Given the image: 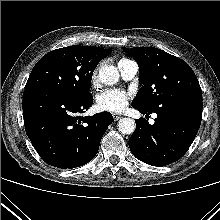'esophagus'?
Here are the masks:
<instances>
[{
	"mask_svg": "<svg viewBox=\"0 0 220 220\" xmlns=\"http://www.w3.org/2000/svg\"><path fill=\"white\" fill-rule=\"evenodd\" d=\"M121 117H122V116L119 115V114H113V119H114L115 121L119 120Z\"/></svg>",
	"mask_w": 220,
	"mask_h": 220,
	"instance_id": "34e87169",
	"label": "esophagus"
}]
</instances>
